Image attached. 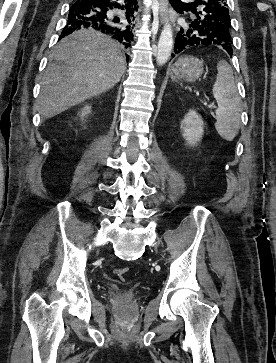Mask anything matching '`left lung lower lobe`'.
Wrapping results in <instances>:
<instances>
[{"instance_id":"left-lung-lower-lobe-1","label":"left lung lower lobe","mask_w":276,"mask_h":363,"mask_svg":"<svg viewBox=\"0 0 276 363\" xmlns=\"http://www.w3.org/2000/svg\"><path fill=\"white\" fill-rule=\"evenodd\" d=\"M206 44H216L215 35L207 29V25H204V28H200L198 25L190 24V29L188 31L181 29L177 34L174 53H172L171 56L174 57L175 54L186 50L191 46ZM221 46L230 56H232V48L230 49L224 43H222Z\"/></svg>"}]
</instances>
